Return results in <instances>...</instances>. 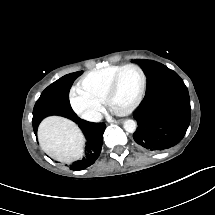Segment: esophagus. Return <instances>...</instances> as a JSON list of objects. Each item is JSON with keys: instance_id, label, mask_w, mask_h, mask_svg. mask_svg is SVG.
<instances>
[{"instance_id": "34e87169", "label": "esophagus", "mask_w": 215, "mask_h": 215, "mask_svg": "<svg viewBox=\"0 0 215 215\" xmlns=\"http://www.w3.org/2000/svg\"><path fill=\"white\" fill-rule=\"evenodd\" d=\"M108 122L119 123L120 121L108 120Z\"/></svg>"}]
</instances>
